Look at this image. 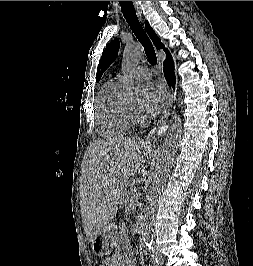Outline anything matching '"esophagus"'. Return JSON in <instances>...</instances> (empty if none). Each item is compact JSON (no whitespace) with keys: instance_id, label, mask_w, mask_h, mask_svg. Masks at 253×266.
<instances>
[{"instance_id":"obj_1","label":"esophagus","mask_w":253,"mask_h":266,"mask_svg":"<svg viewBox=\"0 0 253 266\" xmlns=\"http://www.w3.org/2000/svg\"><path fill=\"white\" fill-rule=\"evenodd\" d=\"M133 4H134V7H135V10L138 14V16L141 18L142 17V11H141V7L140 5L138 4L137 1H132ZM160 67V65H159ZM165 89L167 91V101H166V106L164 108V111L162 113V115L160 116L157 124H156V130L153 134L152 137L148 136L147 137V142H154L157 140V138L159 137V134H160V129L163 128V126L165 125L169 115H170V112L172 110V104H173V92L172 90L169 88V86L167 84H165Z\"/></svg>"}]
</instances>
